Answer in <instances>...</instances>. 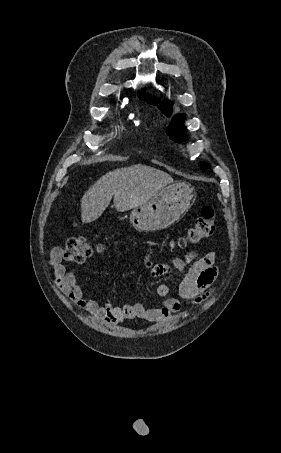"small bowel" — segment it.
<instances>
[{
	"mask_svg": "<svg viewBox=\"0 0 281 453\" xmlns=\"http://www.w3.org/2000/svg\"><path fill=\"white\" fill-rule=\"evenodd\" d=\"M65 256L61 248L53 249L49 263L59 288L80 308L96 316L98 319L111 324L122 323L126 320L143 318L149 322H159L171 313L181 310V303L171 297V287L160 284L156 291L162 299L157 306L147 307L143 303L126 305H105L89 298L75 279L72 271L64 264ZM152 276L159 278L170 275L173 269L183 273L176 289L180 296L191 303H200L214 291V280L218 274L215 263V252L209 251L198 257L190 251L183 256L175 257L170 264L153 263L152 252L145 256Z\"/></svg>",
	"mask_w": 281,
	"mask_h": 453,
	"instance_id": "1",
	"label": "small bowel"
}]
</instances>
